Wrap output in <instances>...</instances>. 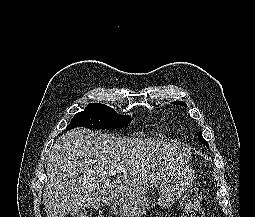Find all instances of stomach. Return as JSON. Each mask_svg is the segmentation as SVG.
Instances as JSON below:
<instances>
[{
    "instance_id": "0dacf381",
    "label": "stomach",
    "mask_w": 255,
    "mask_h": 217,
    "mask_svg": "<svg viewBox=\"0 0 255 217\" xmlns=\"http://www.w3.org/2000/svg\"><path fill=\"white\" fill-rule=\"evenodd\" d=\"M195 177L194 170L184 165L177 171L163 177L160 180V194L158 203L160 206L169 207L177 199L182 197ZM151 201L142 196L134 200L114 203L112 212L119 217H141L150 209Z\"/></svg>"
}]
</instances>
